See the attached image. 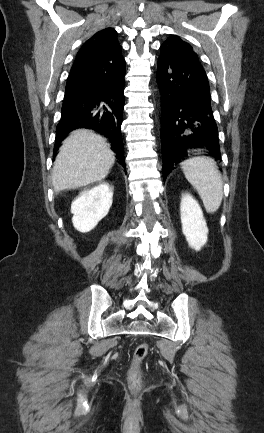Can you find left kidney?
Here are the masks:
<instances>
[{
  "label": "left kidney",
  "instance_id": "left-kidney-1",
  "mask_svg": "<svg viewBox=\"0 0 264 433\" xmlns=\"http://www.w3.org/2000/svg\"><path fill=\"white\" fill-rule=\"evenodd\" d=\"M180 217L188 245L196 251L201 250L207 242L208 228L198 202L188 193L182 195Z\"/></svg>",
  "mask_w": 264,
  "mask_h": 433
}]
</instances>
